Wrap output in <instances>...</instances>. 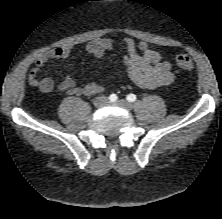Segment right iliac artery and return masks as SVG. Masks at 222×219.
Masks as SVG:
<instances>
[{
    "label": "right iliac artery",
    "instance_id": "1",
    "mask_svg": "<svg viewBox=\"0 0 222 219\" xmlns=\"http://www.w3.org/2000/svg\"><path fill=\"white\" fill-rule=\"evenodd\" d=\"M109 99H110L111 102H115V101H117L118 97H117L116 94H111V95L109 96Z\"/></svg>",
    "mask_w": 222,
    "mask_h": 219
}]
</instances>
